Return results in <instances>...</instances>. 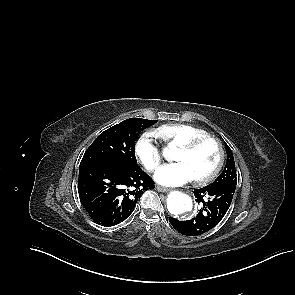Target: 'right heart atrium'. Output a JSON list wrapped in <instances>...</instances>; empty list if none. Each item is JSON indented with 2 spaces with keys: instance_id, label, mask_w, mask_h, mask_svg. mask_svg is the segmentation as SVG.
<instances>
[{
  "instance_id": "1",
  "label": "right heart atrium",
  "mask_w": 295,
  "mask_h": 295,
  "mask_svg": "<svg viewBox=\"0 0 295 295\" xmlns=\"http://www.w3.org/2000/svg\"><path fill=\"white\" fill-rule=\"evenodd\" d=\"M135 154L147 171L152 172L159 167L162 154L154 132L149 131L141 135L135 145Z\"/></svg>"
}]
</instances>
